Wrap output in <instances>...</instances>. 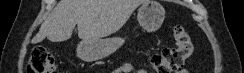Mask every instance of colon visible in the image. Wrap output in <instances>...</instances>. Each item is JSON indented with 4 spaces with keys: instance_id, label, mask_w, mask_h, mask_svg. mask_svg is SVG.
<instances>
[{
    "instance_id": "colon-1",
    "label": "colon",
    "mask_w": 244,
    "mask_h": 73,
    "mask_svg": "<svg viewBox=\"0 0 244 73\" xmlns=\"http://www.w3.org/2000/svg\"><path fill=\"white\" fill-rule=\"evenodd\" d=\"M175 44L163 48L151 56L149 64L155 73H176L194 52V43L190 34L181 25L173 28ZM56 60L43 48H35L28 61L27 73H55Z\"/></svg>"
}]
</instances>
